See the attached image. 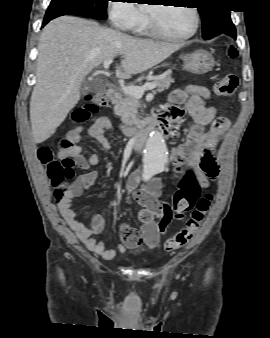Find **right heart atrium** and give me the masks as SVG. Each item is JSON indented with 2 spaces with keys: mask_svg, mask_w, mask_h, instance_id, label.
Listing matches in <instances>:
<instances>
[{
  "mask_svg": "<svg viewBox=\"0 0 270 338\" xmlns=\"http://www.w3.org/2000/svg\"><path fill=\"white\" fill-rule=\"evenodd\" d=\"M129 1L114 3L109 8L113 25L122 30H130L147 22L146 15Z\"/></svg>",
  "mask_w": 270,
  "mask_h": 338,
  "instance_id": "1",
  "label": "right heart atrium"
}]
</instances>
